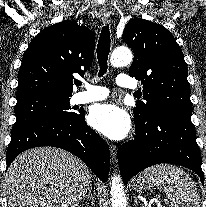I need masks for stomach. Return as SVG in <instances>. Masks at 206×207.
<instances>
[{"instance_id":"obj_1","label":"stomach","mask_w":206,"mask_h":207,"mask_svg":"<svg viewBox=\"0 0 206 207\" xmlns=\"http://www.w3.org/2000/svg\"><path fill=\"white\" fill-rule=\"evenodd\" d=\"M133 188L137 192H144L145 190L150 189V184L143 178L138 177V179L133 184Z\"/></svg>"}]
</instances>
